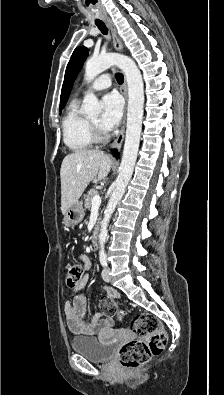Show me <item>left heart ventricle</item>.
<instances>
[{
    "instance_id": "1",
    "label": "left heart ventricle",
    "mask_w": 224,
    "mask_h": 395,
    "mask_svg": "<svg viewBox=\"0 0 224 395\" xmlns=\"http://www.w3.org/2000/svg\"><path fill=\"white\" fill-rule=\"evenodd\" d=\"M91 120L98 123L99 122V117L98 116L92 117Z\"/></svg>"
}]
</instances>
